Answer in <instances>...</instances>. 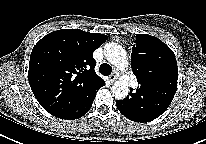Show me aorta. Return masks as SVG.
Masks as SVG:
<instances>
[{
    "mask_svg": "<svg viewBox=\"0 0 206 144\" xmlns=\"http://www.w3.org/2000/svg\"><path fill=\"white\" fill-rule=\"evenodd\" d=\"M104 55L106 59L120 70H125L129 66V61L125 50L115 42H109L104 46ZM112 93L115 99L123 100L129 93L128 83L120 78L112 86Z\"/></svg>",
    "mask_w": 206,
    "mask_h": 144,
    "instance_id": "aorta-1",
    "label": "aorta"
}]
</instances>
